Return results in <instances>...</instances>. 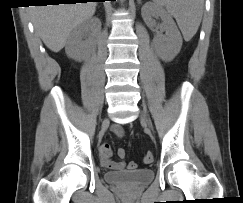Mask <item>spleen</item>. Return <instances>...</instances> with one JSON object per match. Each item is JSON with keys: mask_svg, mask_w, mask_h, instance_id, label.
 I'll return each instance as SVG.
<instances>
[{"mask_svg": "<svg viewBox=\"0 0 243 203\" xmlns=\"http://www.w3.org/2000/svg\"><path fill=\"white\" fill-rule=\"evenodd\" d=\"M176 19L185 41L196 34L203 16L204 0H153Z\"/></svg>", "mask_w": 243, "mask_h": 203, "instance_id": "obj_1", "label": "spleen"}]
</instances>
